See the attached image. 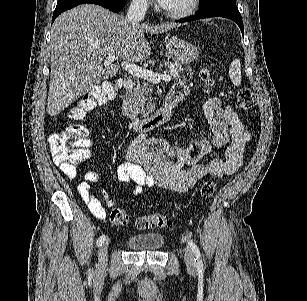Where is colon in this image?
<instances>
[{
	"mask_svg": "<svg viewBox=\"0 0 307 301\" xmlns=\"http://www.w3.org/2000/svg\"><path fill=\"white\" fill-rule=\"evenodd\" d=\"M201 78L208 85L213 83L207 68L202 69ZM118 90V84L110 82L94 87L70 108L68 117L72 121L83 119L89 111L113 99ZM236 100L238 107L242 110H250L255 106L253 92L247 87L238 91ZM87 138V130L83 125L77 122L71 123L61 132L52 134L48 138L49 150L57 162L76 167L90 158V151L86 144ZM215 190L214 182L207 181L201 186L200 193L202 197L210 198ZM110 220L115 225H125L129 222V214L124 209L114 208L110 213ZM170 223L168 215L155 213L138 217L135 226L141 230H148L163 228Z\"/></svg>",
	"mask_w": 307,
	"mask_h": 301,
	"instance_id": "obj_1",
	"label": "colon"
}]
</instances>
